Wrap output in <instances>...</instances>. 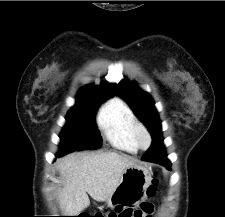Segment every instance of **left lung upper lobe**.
I'll use <instances>...</instances> for the list:
<instances>
[{"label": "left lung upper lobe", "mask_w": 225, "mask_h": 217, "mask_svg": "<svg viewBox=\"0 0 225 217\" xmlns=\"http://www.w3.org/2000/svg\"><path fill=\"white\" fill-rule=\"evenodd\" d=\"M116 94L128 102L136 116L147 126L152 135V139L157 140L161 144L162 150L165 151L161 136V121L151 96L143 92L135 83L130 85L127 80L117 85Z\"/></svg>", "instance_id": "5c2ea615"}]
</instances>
